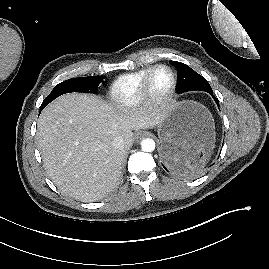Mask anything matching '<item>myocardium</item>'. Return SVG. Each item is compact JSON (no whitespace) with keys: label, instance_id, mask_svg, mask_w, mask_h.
<instances>
[{"label":"myocardium","instance_id":"1","mask_svg":"<svg viewBox=\"0 0 269 269\" xmlns=\"http://www.w3.org/2000/svg\"><path fill=\"white\" fill-rule=\"evenodd\" d=\"M159 69H165L170 73L171 84L164 94L160 96H155L151 92V82L154 73ZM177 83H178L177 75L170 66L165 64L154 65L153 67L150 68V70L148 71V73L146 74L145 78L142 81L140 87V100L150 107L155 108L164 107L173 97L177 88Z\"/></svg>","mask_w":269,"mask_h":269}]
</instances>
